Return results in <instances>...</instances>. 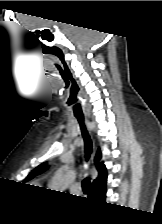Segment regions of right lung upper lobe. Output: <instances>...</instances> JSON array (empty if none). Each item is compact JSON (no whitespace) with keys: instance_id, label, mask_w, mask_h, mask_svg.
Listing matches in <instances>:
<instances>
[{"instance_id":"cb5924a9","label":"right lung upper lobe","mask_w":162,"mask_h":224,"mask_svg":"<svg viewBox=\"0 0 162 224\" xmlns=\"http://www.w3.org/2000/svg\"><path fill=\"white\" fill-rule=\"evenodd\" d=\"M101 159V152L100 150L97 151V154L95 156L94 162L97 166L98 170V177L93 181L91 187H90V195L93 197L98 196L100 193L104 192L106 190V181H107V173H106V167L102 163H99V160ZM46 163H42L39 166H37L25 179V181H28L35 177L36 175L41 174L46 170L45 168Z\"/></svg>"}]
</instances>
